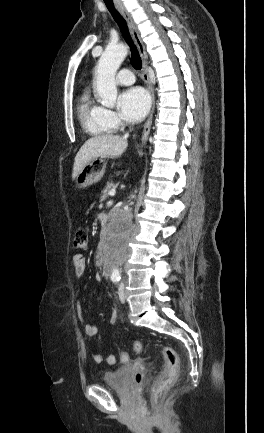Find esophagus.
Here are the masks:
<instances>
[{"instance_id":"34e87169","label":"esophagus","mask_w":264,"mask_h":433,"mask_svg":"<svg viewBox=\"0 0 264 433\" xmlns=\"http://www.w3.org/2000/svg\"><path fill=\"white\" fill-rule=\"evenodd\" d=\"M115 5L117 7V9L119 10V12L122 14V16L124 17V19L127 22V25L129 27L130 33L137 45L139 54L141 56L142 59V77L143 80L145 81V83L148 86V89L150 91L151 94V111L149 114V117L144 125V129L142 132V136H141V143L144 144L149 136L150 130H151V124H152V118H153V113H154V109H155V94H154V89H153V85L151 83V80L149 78V74H148V70H147V64H148V54L146 52L144 43L140 37L139 31L131 17V15L128 13V11L126 10V8L124 7V5L118 1V0H114Z\"/></svg>"}]
</instances>
